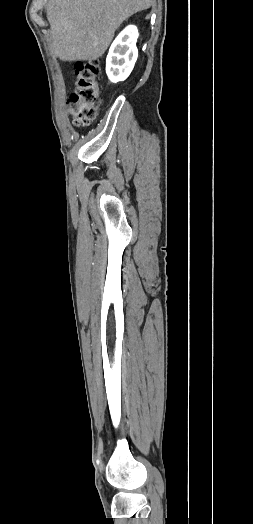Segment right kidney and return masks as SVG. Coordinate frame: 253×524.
<instances>
[{"label":"right kidney","mask_w":253,"mask_h":524,"mask_svg":"<svg viewBox=\"0 0 253 524\" xmlns=\"http://www.w3.org/2000/svg\"><path fill=\"white\" fill-rule=\"evenodd\" d=\"M138 35L137 28L130 25L113 41L106 59V73L112 82L125 80L133 70L138 57Z\"/></svg>","instance_id":"ca27d5eb"}]
</instances>
